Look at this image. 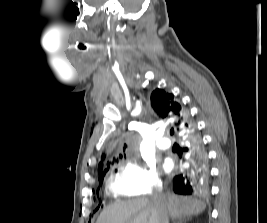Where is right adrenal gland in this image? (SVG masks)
<instances>
[{
  "label": "right adrenal gland",
  "mask_w": 267,
  "mask_h": 223,
  "mask_svg": "<svg viewBox=\"0 0 267 223\" xmlns=\"http://www.w3.org/2000/svg\"><path fill=\"white\" fill-rule=\"evenodd\" d=\"M189 217H183V218H179V220L176 223H183L184 221L188 220Z\"/></svg>",
  "instance_id": "right-adrenal-gland-1"
}]
</instances>
